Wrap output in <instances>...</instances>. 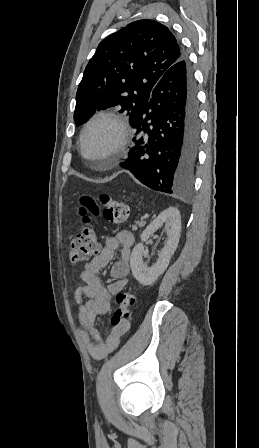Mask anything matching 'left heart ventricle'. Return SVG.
Returning <instances> with one entry per match:
<instances>
[{"instance_id": "1", "label": "left heart ventricle", "mask_w": 259, "mask_h": 448, "mask_svg": "<svg viewBox=\"0 0 259 448\" xmlns=\"http://www.w3.org/2000/svg\"><path fill=\"white\" fill-rule=\"evenodd\" d=\"M115 136V128L110 123H97L90 127L83 141L84 160L102 162L106 160V148Z\"/></svg>"}]
</instances>
